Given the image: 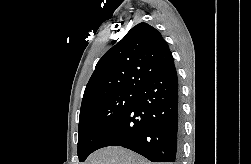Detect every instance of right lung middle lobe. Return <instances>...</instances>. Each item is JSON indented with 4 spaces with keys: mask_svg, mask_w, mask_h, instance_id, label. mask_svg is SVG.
Returning a JSON list of instances; mask_svg holds the SVG:
<instances>
[{
    "mask_svg": "<svg viewBox=\"0 0 251 164\" xmlns=\"http://www.w3.org/2000/svg\"><path fill=\"white\" fill-rule=\"evenodd\" d=\"M137 95L138 89H122L98 96L81 106L78 128L80 162L94 152L97 143L134 104Z\"/></svg>",
    "mask_w": 251,
    "mask_h": 164,
    "instance_id": "obj_1",
    "label": "right lung middle lobe"
}]
</instances>
